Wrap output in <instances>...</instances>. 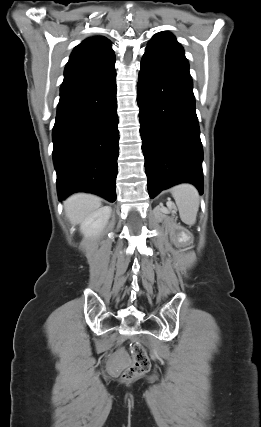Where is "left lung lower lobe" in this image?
<instances>
[{
    "instance_id": "0a47b994",
    "label": "left lung lower lobe",
    "mask_w": 261,
    "mask_h": 427,
    "mask_svg": "<svg viewBox=\"0 0 261 427\" xmlns=\"http://www.w3.org/2000/svg\"><path fill=\"white\" fill-rule=\"evenodd\" d=\"M188 63L146 50L137 86L150 198L189 182L203 194V149Z\"/></svg>"
}]
</instances>
